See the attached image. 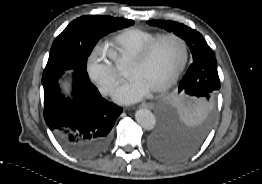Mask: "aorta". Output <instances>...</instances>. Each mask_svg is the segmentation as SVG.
<instances>
[{"instance_id":"obj_1","label":"aorta","mask_w":262,"mask_h":184,"mask_svg":"<svg viewBox=\"0 0 262 184\" xmlns=\"http://www.w3.org/2000/svg\"><path fill=\"white\" fill-rule=\"evenodd\" d=\"M137 123L145 130H152L156 125L154 114L145 108L138 109L135 113Z\"/></svg>"}]
</instances>
